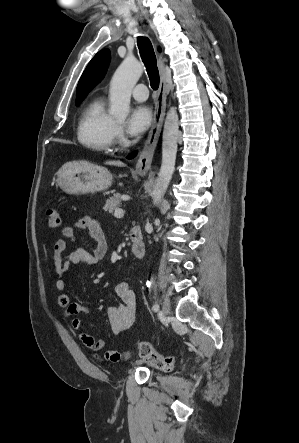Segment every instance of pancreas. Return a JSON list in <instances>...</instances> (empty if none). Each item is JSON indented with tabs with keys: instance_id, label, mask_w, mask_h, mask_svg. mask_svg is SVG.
I'll return each instance as SVG.
<instances>
[{
	"instance_id": "obj_1",
	"label": "pancreas",
	"mask_w": 299,
	"mask_h": 443,
	"mask_svg": "<svg viewBox=\"0 0 299 443\" xmlns=\"http://www.w3.org/2000/svg\"><path fill=\"white\" fill-rule=\"evenodd\" d=\"M121 205V195L119 193L110 197L104 206V210L113 213Z\"/></svg>"
}]
</instances>
